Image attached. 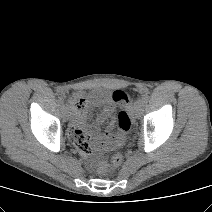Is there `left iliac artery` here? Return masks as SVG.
I'll return each mask as SVG.
<instances>
[{"mask_svg": "<svg viewBox=\"0 0 212 212\" xmlns=\"http://www.w3.org/2000/svg\"><path fill=\"white\" fill-rule=\"evenodd\" d=\"M142 99H143L144 103H147V101L149 99V95L147 92L142 95Z\"/></svg>", "mask_w": 212, "mask_h": 212, "instance_id": "obj_1", "label": "left iliac artery"}]
</instances>
